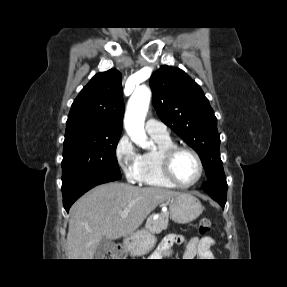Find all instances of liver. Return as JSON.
<instances>
[{
  "label": "liver",
  "mask_w": 287,
  "mask_h": 287,
  "mask_svg": "<svg viewBox=\"0 0 287 287\" xmlns=\"http://www.w3.org/2000/svg\"><path fill=\"white\" fill-rule=\"evenodd\" d=\"M178 195L164 188H139L118 182L93 188L70 209L68 259H94L103 237L132 235L159 204ZM124 209H129L127 217L120 215Z\"/></svg>",
  "instance_id": "liver-1"
}]
</instances>
